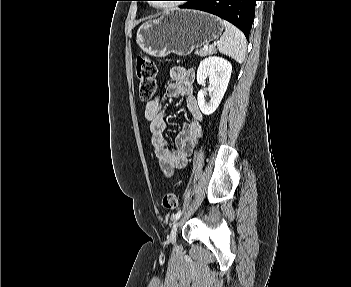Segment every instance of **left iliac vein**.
Instances as JSON below:
<instances>
[{"mask_svg": "<svg viewBox=\"0 0 351 287\" xmlns=\"http://www.w3.org/2000/svg\"><path fill=\"white\" fill-rule=\"evenodd\" d=\"M179 225H180V221L176 222L172 227V230L169 235V240L171 242H174L176 240V235H177V230Z\"/></svg>", "mask_w": 351, "mask_h": 287, "instance_id": "1", "label": "left iliac vein"}]
</instances>
